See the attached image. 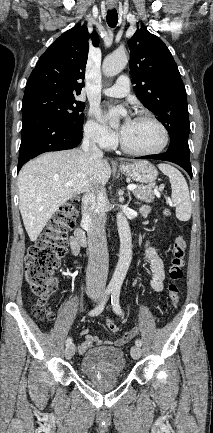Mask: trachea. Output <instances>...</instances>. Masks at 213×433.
<instances>
[{"instance_id":"3493384b","label":"trachea","mask_w":213,"mask_h":433,"mask_svg":"<svg viewBox=\"0 0 213 433\" xmlns=\"http://www.w3.org/2000/svg\"><path fill=\"white\" fill-rule=\"evenodd\" d=\"M118 22V14L116 9L107 11V23L111 28H114Z\"/></svg>"}]
</instances>
